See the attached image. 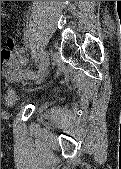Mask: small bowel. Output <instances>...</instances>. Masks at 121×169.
<instances>
[{
  "label": "small bowel",
  "instance_id": "1",
  "mask_svg": "<svg viewBox=\"0 0 121 169\" xmlns=\"http://www.w3.org/2000/svg\"><path fill=\"white\" fill-rule=\"evenodd\" d=\"M13 46L14 42L10 39L7 47L1 51V74L9 80L16 81L27 77L26 75L30 70L23 69L27 63V58L21 49L13 52Z\"/></svg>",
  "mask_w": 121,
  "mask_h": 169
}]
</instances>
